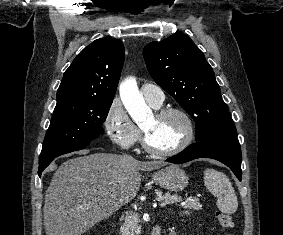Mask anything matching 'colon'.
<instances>
[{
  "instance_id": "colon-1",
  "label": "colon",
  "mask_w": 283,
  "mask_h": 235,
  "mask_svg": "<svg viewBox=\"0 0 283 235\" xmlns=\"http://www.w3.org/2000/svg\"><path fill=\"white\" fill-rule=\"evenodd\" d=\"M216 219L218 223L224 228H230L233 224L231 215L223 212H218L216 214Z\"/></svg>"
}]
</instances>
